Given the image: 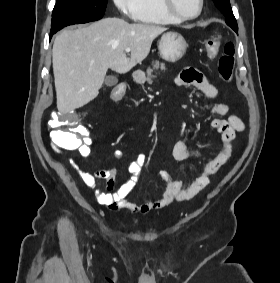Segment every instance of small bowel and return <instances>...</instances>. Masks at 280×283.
Listing matches in <instances>:
<instances>
[{"mask_svg": "<svg viewBox=\"0 0 280 283\" xmlns=\"http://www.w3.org/2000/svg\"><path fill=\"white\" fill-rule=\"evenodd\" d=\"M177 83L195 87L209 101H214L217 97V89L215 86L198 70L188 69L183 71L178 77ZM211 110L215 115L224 116L228 113V106L223 103H213ZM211 127L221 135V151L215 158L208 161L199 169L196 178L186 187L183 185L182 181L173 180L167 172L160 171L159 175L166 186L161 197L156 200L148 199L143 203H135L128 198L131 189L137 182L142 168L147 162V157L143 153L138 154L135 159L129 163L128 172L130 178L117 190H115L116 167H109L107 169L91 172L82 167L76 159H71V163L79 173L83 183L87 187L95 189V195L100 204L114 211L128 210L135 214L145 215L152 211L162 209L173 201H183L194 197L208 185L209 177L215 174L227 163L232 155V143L236 133L244 131L245 124L239 117L229 115L226 119H213ZM81 133L83 135L80 139L81 144L76 151L81 157H88L91 154L93 137L89 131ZM202 154V151L198 149H190L187 146V143L182 139L176 141L173 146V156L177 161H184L189 158H200ZM114 156L119 159L123 156V152L121 150H116ZM98 180L105 181V191L98 189Z\"/></svg>", "mask_w": 280, "mask_h": 283, "instance_id": "c3829d8e", "label": "small bowel"}]
</instances>
